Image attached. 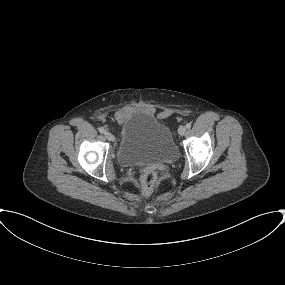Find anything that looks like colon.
Returning a JSON list of instances; mask_svg holds the SVG:
<instances>
[{"label":"colon","instance_id":"obj_1","mask_svg":"<svg viewBox=\"0 0 285 285\" xmlns=\"http://www.w3.org/2000/svg\"><path fill=\"white\" fill-rule=\"evenodd\" d=\"M157 182L156 174L153 170H146L141 176L140 184L141 191L144 194L150 193L155 187Z\"/></svg>","mask_w":285,"mask_h":285}]
</instances>
